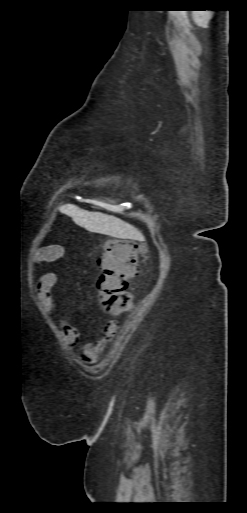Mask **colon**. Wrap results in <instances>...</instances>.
<instances>
[{
    "label": "colon",
    "mask_w": 247,
    "mask_h": 513,
    "mask_svg": "<svg viewBox=\"0 0 247 513\" xmlns=\"http://www.w3.org/2000/svg\"><path fill=\"white\" fill-rule=\"evenodd\" d=\"M98 269L97 289L102 308L112 313L127 310L132 301L129 285L138 273L137 244L127 239L106 241L98 258Z\"/></svg>",
    "instance_id": "colon-1"
}]
</instances>
